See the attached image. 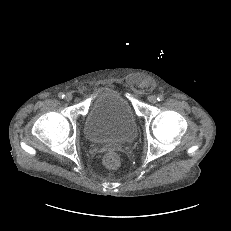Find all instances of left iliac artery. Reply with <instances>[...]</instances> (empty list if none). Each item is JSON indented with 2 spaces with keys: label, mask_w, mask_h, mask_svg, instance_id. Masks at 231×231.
<instances>
[{
  "label": "left iliac artery",
  "mask_w": 231,
  "mask_h": 231,
  "mask_svg": "<svg viewBox=\"0 0 231 231\" xmlns=\"http://www.w3.org/2000/svg\"><path fill=\"white\" fill-rule=\"evenodd\" d=\"M157 100H158L159 102L163 101V100H164V96H163V95H159V96L157 97Z\"/></svg>",
  "instance_id": "1"
}]
</instances>
